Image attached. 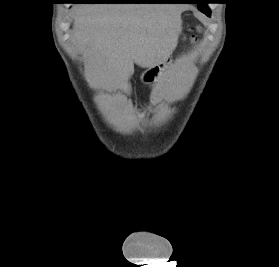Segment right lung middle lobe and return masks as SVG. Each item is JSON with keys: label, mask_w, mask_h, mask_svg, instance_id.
I'll use <instances>...</instances> for the list:
<instances>
[{"label": "right lung middle lobe", "mask_w": 279, "mask_h": 267, "mask_svg": "<svg viewBox=\"0 0 279 267\" xmlns=\"http://www.w3.org/2000/svg\"><path fill=\"white\" fill-rule=\"evenodd\" d=\"M118 1H122V2H133V1H142V0H118Z\"/></svg>", "instance_id": "obj_1"}]
</instances>
